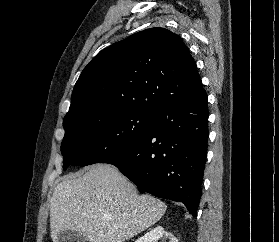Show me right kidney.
Segmentation results:
<instances>
[{"instance_id": "obj_1", "label": "right kidney", "mask_w": 279, "mask_h": 242, "mask_svg": "<svg viewBox=\"0 0 279 242\" xmlns=\"http://www.w3.org/2000/svg\"><path fill=\"white\" fill-rule=\"evenodd\" d=\"M161 238L168 239L169 242H178L172 233L165 231L160 225L149 230L144 236L136 240V242H157Z\"/></svg>"}]
</instances>
